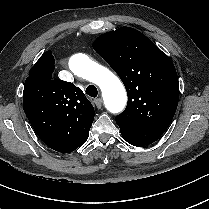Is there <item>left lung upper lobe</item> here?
Returning a JSON list of instances; mask_svg holds the SVG:
<instances>
[{"mask_svg":"<svg viewBox=\"0 0 209 209\" xmlns=\"http://www.w3.org/2000/svg\"><path fill=\"white\" fill-rule=\"evenodd\" d=\"M93 48L127 91V107L116 116L122 136L143 145L155 142L178 105L179 83L172 61L149 38L129 27L99 36Z\"/></svg>","mask_w":209,"mask_h":209,"instance_id":"left-lung-upper-lobe-1","label":"left lung upper lobe"}]
</instances>
